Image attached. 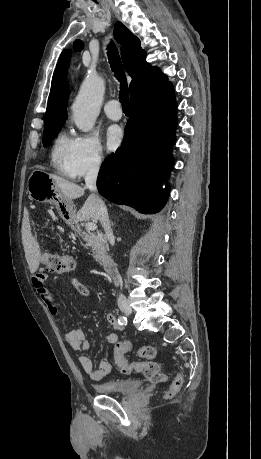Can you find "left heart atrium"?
<instances>
[{
    "label": "left heart atrium",
    "mask_w": 261,
    "mask_h": 459,
    "mask_svg": "<svg viewBox=\"0 0 261 459\" xmlns=\"http://www.w3.org/2000/svg\"><path fill=\"white\" fill-rule=\"evenodd\" d=\"M122 130L117 125H111L107 128L105 133L106 147L109 151L115 150L122 141Z\"/></svg>",
    "instance_id": "39dd6f15"
}]
</instances>
